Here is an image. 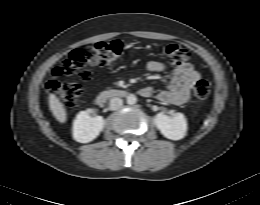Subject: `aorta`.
I'll list each match as a JSON object with an SVG mask.
<instances>
[{"mask_svg": "<svg viewBox=\"0 0 260 205\" xmlns=\"http://www.w3.org/2000/svg\"><path fill=\"white\" fill-rule=\"evenodd\" d=\"M137 102V98L134 94H130L127 96V104L134 105Z\"/></svg>", "mask_w": 260, "mask_h": 205, "instance_id": "obj_1", "label": "aorta"}]
</instances>
